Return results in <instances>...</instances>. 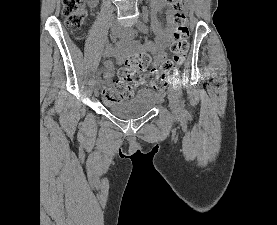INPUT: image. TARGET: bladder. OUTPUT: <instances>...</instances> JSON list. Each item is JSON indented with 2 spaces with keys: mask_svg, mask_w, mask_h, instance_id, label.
<instances>
[{
  "mask_svg": "<svg viewBox=\"0 0 277 225\" xmlns=\"http://www.w3.org/2000/svg\"><path fill=\"white\" fill-rule=\"evenodd\" d=\"M158 101V96L152 90L144 89L127 100L108 103L107 109L119 118L135 119L151 111Z\"/></svg>",
  "mask_w": 277,
  "mask_h": 225,
  "instance_id": "bladder-1",
  "label": "bladder"
}]
</instances>
